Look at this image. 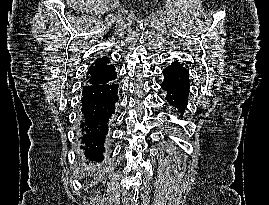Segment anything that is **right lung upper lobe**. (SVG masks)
I'll use <instances>...</instances> for the list:
<instances>
[{
    "mask_svg": "<svg viewBox=\"0 0 269 205\" xmlns=\"http://www.w3.org/2000/svg\"><path fill=\"white\" fill-rule=\"evenodd\" d=\"M109 58L97 59L94 65L88 69L86 76V84L100 85L113 82L116 79L115 67L108 64Z\"/></svg>",
    "mask_w": 269,
    "mask_h": 205,
    "instance_id": "cb5924a9",
    "label": "right lung upper lobe"
}]
</instances>
